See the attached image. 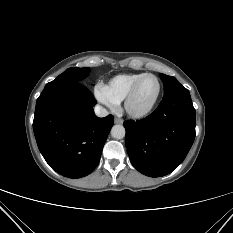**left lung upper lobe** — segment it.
<instances>
[{
  "instance_id": "left-lung-upper-lobe-1",
  "label": "left lung upper lobe",
  "mask_w": 233,
  "mask_h": 233,
  "mask_svg": "<svg viewBox=\"0 0 233 233\" xmlns=\"http://www.w3.org/2000/svg\"><path fill=\"white\" fill-rule=\"evenodd\" d=\"M160 78L164 83V96H169L178 92L188 91L175 77L160 73Z\"/></svg>"
}]
</instances>
